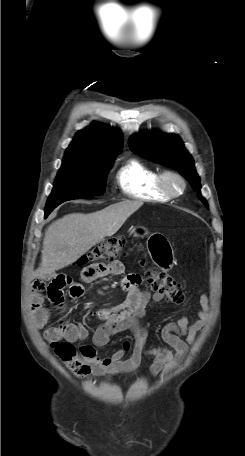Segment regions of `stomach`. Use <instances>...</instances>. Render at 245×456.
Wrapping results in <instances>:
<instances>
[{
	"mask_svg": "<svg viewBox=\"0 0 245 456\" xmlns=\"http://www.w3.org/2000/svg\"><path fill=\"white\" fill-rule=\"evenodd\" d=\"M132 233L135 237H143L148 234V231L144 227L136 226L132 229ZM147 249L152 261L162 270H169L173 266V249L164 235H152Z\"/></svg>",
	"mask_w": 245,
	"mask_h": 456,
	"instance_id": "0dacf381",
	"label": "stomach"
}]
</instances>
